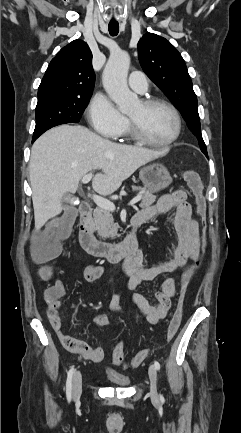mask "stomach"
I'll list each match as a JSON object with an SVG mask.
<instances>
[{"label": "stomach", "instance_id": "stomach-1", "mask_svg": "<svg viewBox=\"0 0 241 433\" xmlns=\"http://www.w3.org/2000/svg\"><path fill=\"white\" fill-rule=\"evenodd\" d=\"M144 187L151 193L159 192L172 183V177L165 166L154 163L143 167L139 172Z\"/></svg>", "mask_w": 241, "mask_h": 433}]
</instances>
